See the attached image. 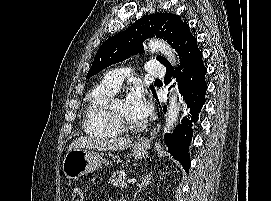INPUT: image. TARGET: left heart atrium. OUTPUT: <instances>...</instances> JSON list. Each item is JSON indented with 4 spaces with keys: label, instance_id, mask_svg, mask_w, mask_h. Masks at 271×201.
<instances>
[{
    "label": "left heart atrium",
    "instance_id": "39dd6f15",
    "mask_svg": "<svg viewBox=\"0 0 271 201\" xmlns=\"http://www.w3.org/2000/svg\"><path fill=\"white\" fill-rule=\"evenodd\" d=\"M130 114L139 121H144L153 111L152 100L142 87L134 88L125 98Z\"/></svg>",
    "mask_w": 271,
    "mask_h": 201
}]
</instances>
